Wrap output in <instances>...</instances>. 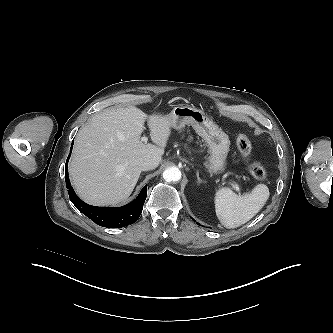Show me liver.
Listing matches in <instances>:
<instances>
[{
	"instance_id": "1",
	"label": "liver",
	"mask_w": 333,
	"mask_h": 333,
	"mask_svg": "<svg viewBox=\"0 0 333 333\" xmlns=\"http://www.w3.org/2000/svg\"><path fill=\"white\" fill-rule=\"evenodd\" d=\"M146 115L135 106L94 114L78 132L69 164L72 184L81 199L116 205L132 193L141 174V161L161 159L171 134V120L155 112L149 119L151 140H141Z\"/></svg>"
}]
</instances>
